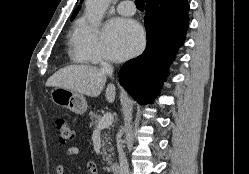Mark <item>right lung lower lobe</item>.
I'll list each match as a JSON object with an SVG mask.
<instances>
[{"label": "right lung lower lobe", "mask_w": 249, "mask_h": 174, "mask_svg": "<svg viewBox=\"0 0 249 174\" xmlns=\"http://www.w3.org/2000/svg\"><path fill=\"white\" fill-rule=\"evenodd\" d=\"M188 12L187 0L146 4V49L119 72L121 85L138 103L150 102L167 76L168 64L185 40Z\"/></svg>", "instance_id": "obj_1"}]
</instances>
